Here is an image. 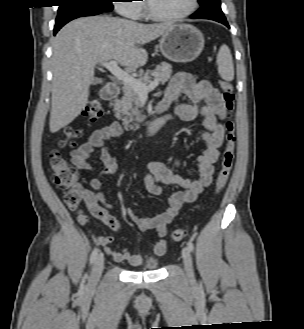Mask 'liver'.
I'll use <instances>...</instances> for the list:
<instances>
[{
	"label": "liver",
	"mask_w": 304,
	"mask_h": 329,
	"mask_svg": "<svg viewBox=\"0 0 304 329\" xmlns=\"http://www.w3.org/2000/svg\"><path fill=\"white\" fill-rule=\"evenodd\" d=\"M170 27L108 16L78 18L65 25L53 40L50 132L69 125L86 106L96 64L114 60L136 71L148 59L142 45Z\"/></svg>",
	"instance_id": "1"
}]
</instances>
